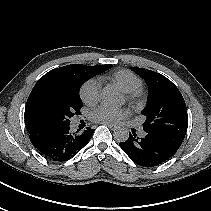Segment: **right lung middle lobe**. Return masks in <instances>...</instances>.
I'll list each match as a JSON object with an SVG mask.
<instances>
[{
  "instance_id": "obj_1",
  "label": "right lung middle lobe",
  "mask_w": 211,
  "mask_h": 211,
  "mask_svg": "<svg viewBox=\"0 0 211 211\" xmlns=\"http://www.w3.org/2000/svg\"><path fill=\"white\" fill-rule=\"evenodd\" d=\"M91 68L78 76L72 83L57 87L44 88L30 95L25 106V123L29 133L70 124V118L80 115L83 106L79 89L84 81L107 70Z\"/></svg>"
}]
</instances>
